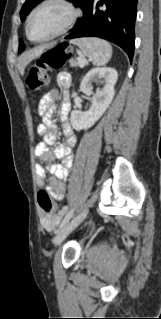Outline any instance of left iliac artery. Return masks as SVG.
<instances>
[{
	"instance_id": "1",
	"label": "left iliac artery",
	"mask_w": 161,
	"mask_h": 319,
	"mask_svg": "<svg viewBox=\"0 0 161 319\" xmlns=\"http://www.w3.org/2000/svg\"><path fill=\"white\" fill-rule=\"evenodd\" d=\"M74 211H75V209L73 208V209H71V210L66 214V216H65V218L63 219V221H62V223H61L59 229H61L63 226H65V225L69 222V220L72 218V216H73V214H74ZM58 231H59V230H58ZM58 231H57V232H58Z\"/></svg>"
}]
</instances>
